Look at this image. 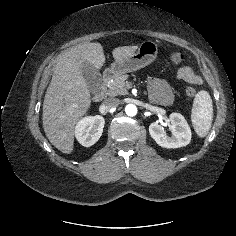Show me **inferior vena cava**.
Instances as JSON below:
<instances>
[{"label": "inferior vena cava", "instance_id": "602c4592", "mask_svg": "<svg viewBox=\"0 0 236 236\" xmlns=\"http://www.w3.org/2000/svg\"><path fill=\"white\" fill-rule=\"evenodd\" d=\"M120 104V100L117 98H107L102 102V106L105 110H110L117 107Z\"/></svg>", "mask_w": 236, "mask_h": 236}]
</instances>
